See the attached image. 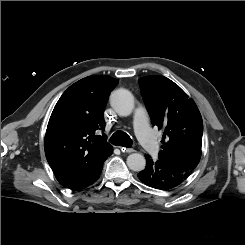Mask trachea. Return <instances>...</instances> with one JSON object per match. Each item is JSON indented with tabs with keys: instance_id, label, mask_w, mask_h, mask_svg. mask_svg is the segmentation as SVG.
<instances>
[{
	"instance_id": "trachea-1",
	"label": "trachea",
	"mask_w": 245,
	"mask_h": 245,
	"mask_svg": "<svg viewBox=\"0 0 245 245\" xmlns=\"http://www.w3.org/2000/svg\"><path fill=\"white\" fill-rule=\"evenodd\" d=\"M109 142L113 145L123 146L127 148H130L132 146V139L130 138V136L121 130L116 131L109 139Z\"/></svg>"
}]
</instances>
